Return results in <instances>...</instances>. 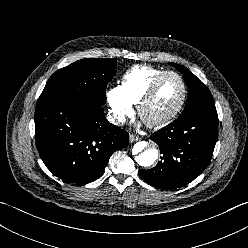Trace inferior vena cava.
Listing matches in <instances>:
<instances>
[{
    "label": "inferior vena cava",
    "mask_w": 248,
    "mask_h": 248,
    "mask_svg": "<svg viewBox=\"0 0 248 248\" xmlns=\"http://www.w3.org/2000/svg\"><path fill=\"white\" fill-rule=\"evenodd\" d=\"M107 120L115 125H122L126 121L123 115H116V114H108Z\"/></svg>",
    "instance_id": "obj_1"
}]
</instances>
